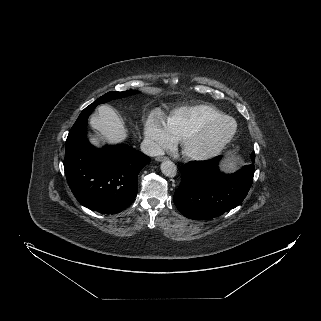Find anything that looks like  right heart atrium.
<instances>
[{
  "label": "right heart atrium",
  "instance_id": "obj_1",
  "mask_svg": "<svg viewBox=\"0 0 321 321\" xmlns=\"http://www.w3.org/2000/svg\"><path fill=\"white\" fill-rule=\"evenodd\" d=\"M144 138L150 152L155 153L171 147L175 139L157 115H152L145 123Z\"/></svg>",
  "mask_w": 321,
  "mask_h": 321
}]
</instances>
